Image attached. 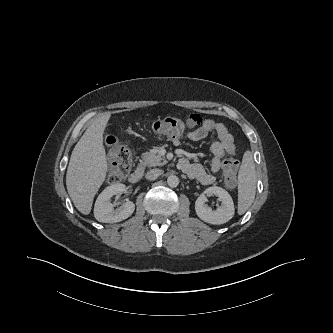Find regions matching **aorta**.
<instances>
[{
    "mask_svg": "<svg viewBox=\"0 0 333 333\" xmlns=\"http://www.w3.org/2000/svg\"><path fill=\"white\" fill-rule=\"evenodd\" d=\"M167 184L170 187H177L179 184V178L176 175H171L167 178Z\"/></svg>",
    "mask_w": 333,
    "mask_h": 333,
    "instance_id": "1",
    "label": "aorta"
}]
</instances>
